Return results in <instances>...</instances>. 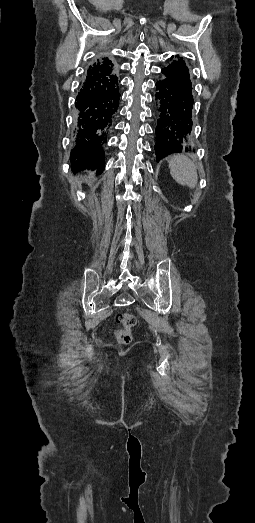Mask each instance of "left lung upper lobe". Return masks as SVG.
<instances>
[{
    "label": "left lung upper lobe",
    "mask_w": 255,
    "mask_h": 523,
    "mask_svg": "<svg viewBox=\"0 0 255 523\" xmlns=\"http://www.w3.org/2000/svg\"><path fill=\"white\" fill-rule=\"evenodd\" d=\"M178 57V55L176 56ZM174 56L170 58V60H173ZM161 72L165 76L174 77L173 85H183L186 86V88H189L191 90L192 94V83L190 80L189 75V69L186 66L185 62L182 60V58H179L178 60H173L169 66L166 68H163ZM160 92V91H159ZM159 94V93H158ZM193 98V96H192ZM179 109V107H178ZM192 115V114H190ZM158 137V135H156ZM191 142V140H189ZM168 153L167 155H169Z\"/></svg>",
    "instance_id": "obj_1"
}]
</instances>
